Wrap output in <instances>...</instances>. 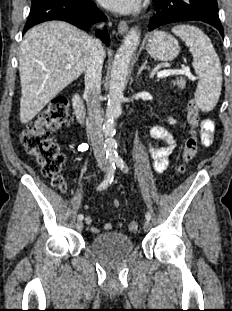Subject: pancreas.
I'll return each instance as SVG.
<instances>
[{
    "label": "pancreas",
    "instance_id": "cf45deb5",
    "mask_svg": "<svg viewBox=\"0 0 232 311\" xmlns=\"http://www.w3.org/2000/svg\"><path fill=\"white\" fill-rule=\"evenodd\" d=\"M171 84L177 85L179 90L185 89V80L182 78H178V79L172 81Z\"/></svg>",
    "mask_w": 232,
    "mask_h": 311
}]
</instances>
